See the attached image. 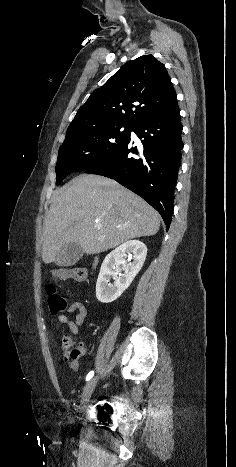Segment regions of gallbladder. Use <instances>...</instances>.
I'll list each match as a JSON object with an SVG mask.
<instances>
[{
	"mask_svg": "<svg viewBox=\"0 0 236 467\" xmlns=\"http://www.w3.org/2000/svg\"><path fill=\"white\" fill-rule=\"evenodd\" d=\"M83 253L80 245L68 243L58 251L55 264L60 267L73 266L82 258Z\"/></svg>",
	"mask_w": 236,
	"mask_h": 467,
	"instance_id": "obj_1",
	"label": "gallbladder"
}]
</instances>
